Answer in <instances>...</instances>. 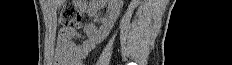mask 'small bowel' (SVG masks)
Listing matches in <instances>:
<instances>
[{
    "label": "small bowel",
    "mask_w": 232,
    "mask_h": 65,
    "mask_svg": "<svg viewBox=\"0 0 232 65\" xmlns=\"http://www.w3.org/2000/svg\"><path fill=\"white\" fill-rule=\"evenodd\" d=\"M74 34L72 29L60 30L57 60L67 65H82V59L94 49L95 45L89 39L75 45L72 42Z\"/></svg>",
    "instance_id": "1"
}]
</instances>
